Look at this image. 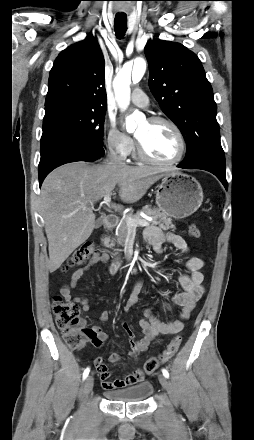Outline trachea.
Listing matches in <instances>:
<instances>
[{
    "label": "trachea",
    "instance_id": "trachea-1",
    "mask_svg": "<svg viewBox=\"0 0 254 440\" xmlns=\"http://www.w3.org/2000/svg\"><path fill=\"white\" fill-rule=\"evenodd\" d=\"M114 30L116 33V36L121 39L127 30V17L116 15L114 19Z\"/></svg>",
    "mask_w": 254,
    "mask_h": 440
}]
</instances>
